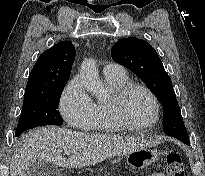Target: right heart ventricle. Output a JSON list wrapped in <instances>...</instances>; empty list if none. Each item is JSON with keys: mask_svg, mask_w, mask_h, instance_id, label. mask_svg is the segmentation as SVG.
<instances>
[{"mask_svg": "<svg viewBox=\"0 0 205 176\" xmlns=\"http://www.w3.org/2000/svg\"><path fill=\"white\" fill-rule=\"evenodd\" d=\"M105 81L115 93L129 83L126 74L124 76H105ZM112 101L95 103V115L90 125L91 130L99 135H110L120 132L122 129L112 113Z\"/></svg>", "mask_w": 205, "mask_h": 176, "instance_id": "right-heart-ventricle-1", "label": "right heart ventricle"}]
</instances>
